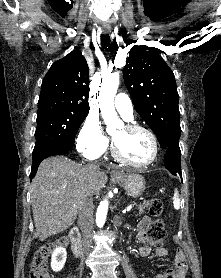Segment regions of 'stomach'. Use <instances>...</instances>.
<instances>
[{"instance_id":"1","label":"stomach","mask_w":221,"mask_h":278,"mask_svg":"<svg viewBox=\"0 0 221 278\" xmlns=\"http://www.w3.org/2000/svg\"><path fill=\"white\" fill-rule=\"evenodd\" d=\"M121 187H123L127 194L133 198H137L142 195L145 190V180L139 174H119L112 177Z\"/></svg>"}]
</instances>
